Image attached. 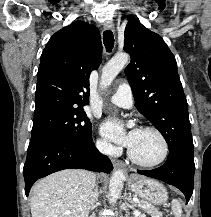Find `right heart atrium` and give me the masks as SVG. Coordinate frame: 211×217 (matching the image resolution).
<instances>
[{
  "label": "right heart atrium",
  "mask_w": 211,
  "mask_h": 217,
  "mask_svg": "<svg viewBox=\"0 0 211 217\" xmlns=\"http://www.w3.org/2000/svg\"><path fill=\"white\" fill-rule=\"evenodd\" d=\"M96 146L101 152L106 154H116L119 151L118 148L112 146L103 139H98L96 142Z\"/></svg>",
  "instance_id": "1"
}]
</instances>
